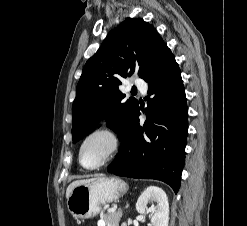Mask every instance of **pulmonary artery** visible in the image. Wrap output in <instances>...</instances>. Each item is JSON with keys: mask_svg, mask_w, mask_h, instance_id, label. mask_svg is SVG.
I'll use <instances>...</instances> for the list:
<instances>
[{"mask_svg": "<svg viewBox=\"0 0 247 226\" xmlns=\"http://www.w3.org/2000/svg\"><path fill=\"white\" fill-rule=\"evenodd\" d=\"M134 86L139 89L141 92L145 93L147 85L143 80L137 79L134 81Z\"/></svg>", "mask_w": 247, "mask_h": 226, "instance_id": "1", "label": "pulmonary artery"}]
</instances>
